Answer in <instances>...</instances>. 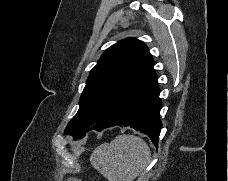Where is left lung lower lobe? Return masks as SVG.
I'll use <instances>...</instances> for the list:
<instances>
[{
	"instance_id": "left-lung-lower-lobe-1",
	"label": "left lung lower lobe",
	"mask_w": 228,
	"mask_h": 181,
	"mask_svg": "<svg viewBox=\"0 0 228 181\" xmlns=\"http://www.w3.org/2000/svg\"><path fill=\"white\" fill-rule=\"evenodd\" d=\"M159 93L157 75L152 68L132 93L120 121L110 127L116 125L120 127L130 126L137 131L148 134L151 141L158 148V140L162 128ZM101 130L103 129H98L97 131ZM86 132L88 131L76 134L74 136L75 139L83 138Z\"/></svg>"
}]
</instances>
